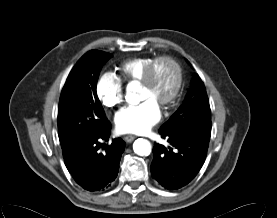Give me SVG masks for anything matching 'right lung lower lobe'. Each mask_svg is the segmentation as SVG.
Here are the masks:
<instances>
[{
    "instance_id": "right-lung-lower-lobe-1",
    "label": "right lung lower lobe",
    "mask_w": 277,
    "mask_h": 218,
    "mask_svg": "<svg viewBox=\"0 0 277 218\" xmlns=\"http://www.w3.org/2000/svg\"><path fill=\"white\" fill-rule=\"evenodd\" d=\"M111 124L93 138L76 146L64 156L65 165L74 180L88 191L109 187L115 180L125 142L116 138L104 144L110 136Z\"/></svg>"
}]
</instances>
